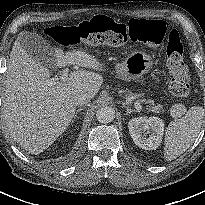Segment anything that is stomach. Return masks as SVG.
I'll use <instances>...</instances> for the list:
<instances>
[{
	"mask_svg": "<svg viewBox=\"0 0 205 205\" xmlns=\"http://www.w3.org/2000/svg\"><path fill=\"white\" fill-rule=\"evenodd\" d=\"M153 64L150 55L136 50L131 52L121 64L116 66V72L125 79L134 80L148 73Z\"/></svg>",
	"mask_w": 205,
	"mask_h": 205,
	"instance_id": "obj_1",
	"label": "stomach"
}]
</instances>
